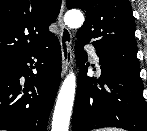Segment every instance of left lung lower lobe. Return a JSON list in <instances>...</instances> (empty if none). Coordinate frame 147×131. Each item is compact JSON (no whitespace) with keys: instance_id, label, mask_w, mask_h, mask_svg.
I'll use <instances>...</instances> for the list:
<instances>
[{"instance_id":"1","label":"left lung lower lobe","mask_w":147,"mask_h":131,"mask_svg":"<svg viewBox=\"0 0 147 131\" xmlns=\"http://www.w3.org/2000/svg\"><path fill=\"white\" fill-rule=\"evenodd\" d=\"M83 41H76V64L80 67L72 117V131L117 127L147 131V105L139 72L100 56L101 77L87 76V55Z\"/></svg>"}]
</instances>
